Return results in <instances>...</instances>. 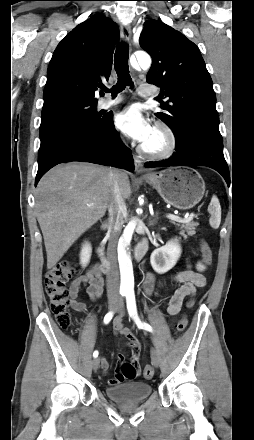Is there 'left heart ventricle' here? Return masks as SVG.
I'll return each mask as SVG.
<instances>
[{"mask_svg":"<svg viewBox=\"0 0 254 440\" xmlns=\"http://www.w3.org/2000/svg\"><path fill=\"white\" fill-rule=\"evenodd\" d=\"M164 145V137L159 132L154 130L148 141L144 144V146L149 150H157L160 149Z\"/></svg>","mask_w":254,"mask_h":440,"instance_id":"left-heart-ventricle-1","label":"left heart ventricle"}]
</instances>
